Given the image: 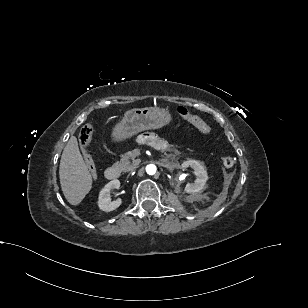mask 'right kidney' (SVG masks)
I'll use <instances>...</instances> for the list:
<instances>
[{"label":"right kidney","mask_w":308,"mask_h":308,"mask_svg":"<svg viewBox=\"0 0 308 308\" xmlns=\"http://www.w3.org/2000/svg\"><path fill=\"white\" fill-rule=\"evenodd\" d=\"M120 187V181L117 179H114L110 182H108L100 191L99 197H98V207L102 211L110 212L118 208L122 201L120 198H118L115 201L111 200L110 192L113 189H119Z\"/></svg>","instance_id":"1"}]
</instances>
